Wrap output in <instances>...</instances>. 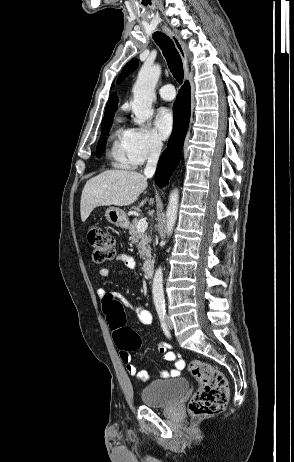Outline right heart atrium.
Listing matches in <instances>:
<instances>
[{
    "label": "right heart atrium",
    "mask_w": 294,
    "mask_h": 462,
    "mask_svg": "<svg viewBox=\"0 0 294 462\" xmlns=\"http://www.w3.org/2000/svg\"><path fill=\"white\" fill-rule=\"evenodd\" d=\"M161 149L162 142L154 131L142 127L129 129L127 150L134 166L156 157Z\"/></svg>",
    "instance_id": "obj_1"
}]
</instances>
